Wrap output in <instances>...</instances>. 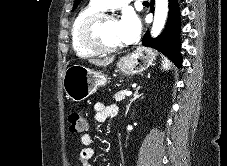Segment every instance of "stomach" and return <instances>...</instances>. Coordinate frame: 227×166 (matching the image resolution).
I'll list each match as a JSON object with an SVG mask.
<instances>
[{"label": "stomach", "mask_w": 227, "mask_h": 166, "mask_svg": "<svg viewBox=\"0 0 227 166\" xmlns=\"http://www.w3.org/2000/svg\"><path fill=\"white\" fill-rule=\"evenodd\" d=\"M152 49L139 47L132 54L122 57L118 69L127 76L145 71L154 61ZM107 83V77L101 72L94 71L83 65L73 64L64 72L63 87L68 98L81 102L93 94L98 87Z\"/></svg>", "instance_id": "obj_1"}]
</instances>
